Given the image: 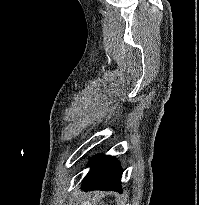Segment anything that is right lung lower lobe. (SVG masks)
Instances as JSON below:
<instances>
[{
  "mask_svg": "<svg viewBox=\"0 0 199 205\" xmlns=\"http://www.w3.org/2000/svg\"><path fill=\"white\" fill-rule=\"evenodd\" d=\"M82 183L83 190L122 191V168L113 156L94 157Z\"/></svg>",
  "mask_w": 199,
  "mask_h": 205,
  "instance_id": "obj_1",
  "label": "right lung lower lobe"
}]
</instances>
